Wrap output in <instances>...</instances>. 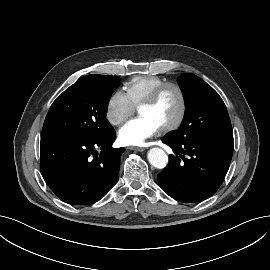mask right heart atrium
Returning <instances> with one entry per match:
<instances>
[{"label":"right heart atrium","instance_id":"obj_1","mask_svg":"<svg viewBox=\"0 0 270 270\" xmlns=\"http://www.w3.org/2000/svg\"><path fill=\"white\" fill-rule=\"evenodd\" d=\"M135 110L128 94L122 90L114 91L106 104L105 117L106 120L114 126L124 122Z\"/></svg>","mask_w":270,"mask_h":270}]
</instances>
